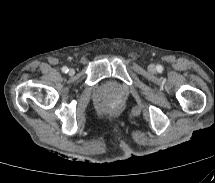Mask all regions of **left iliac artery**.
I'll return each instance as SVG.
<instances>
[{
	"instance_id": "1",
	"label": "left iliac artery",
	"mask_w": 215,
	"mask_h": 183,
	"mask_svg": "<svg viewBox=\"0 0 215 183\" xmlns=\"http://www.w3.org/2000/svg\"><path fill=\"white\" fill-rule=\"evenodd\" d=\"M157 70H158V71H161V70H162V66L158 65V66H157Z\"/></svg>"
}]
</instances>
